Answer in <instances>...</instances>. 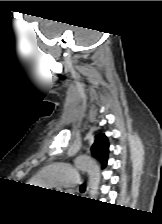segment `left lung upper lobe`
I'll use <instances>...</instances> for the list:
<instances>
[{"mask_svg":"<svg viewBox=\"0 0 162 224\" xmlns=\"http://www.w3.org/2000/svg\"><path fill=\"white\" fill-rule=\"evenodd\" d=\"M91 152L92 155L101 162L102 167L105 168L107 165L109 143L104 134L96 135L95 142L91 147Z\"/></svg>","mask_w":162,"mask_h":224,"instance_id":"obj_1","label":"left lung upper lobe"}]
</instances>
